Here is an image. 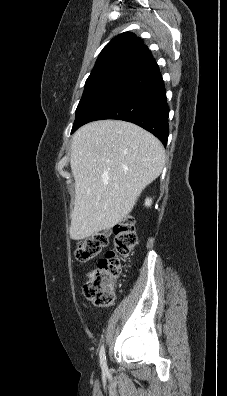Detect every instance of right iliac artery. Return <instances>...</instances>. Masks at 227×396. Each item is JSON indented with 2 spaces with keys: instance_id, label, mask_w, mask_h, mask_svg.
<instances>
[{
  "instance_id": "obj_1",
  "label": "right iliac artery",
  "mask_w": 227,
  "mask_h": 396,
  "mask_svg": "<svg viewBox=\"0 0 227 396\" xmlns=\"http://www.w3.org/2000/svg\"><path fill=\"white\" fill-rule=\"evenodd\" d=\"M99 356H100L101 369H102L103 373H107L108 368H107V364H106V355H105L104 345H102L100 348Z\"/></svg>"
}]
</instances>
